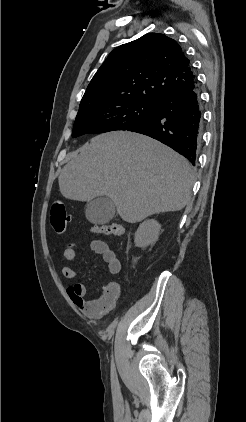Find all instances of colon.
Listing matches in <instances>:
<instances>
[{
  "instance_id": "obj_1",
  "label": "colon",
  "mask_w": 246,
  "mask_h": 422,
  "mask_svg": "<svg viewBox=\"0 0 246 422\" xmlns=\"http://www.w3.org/2000/svg\"><path fill=\"white\" fill-rule=\"evenodd\" d=\"M50 222L56 232L63 233L66 230L69 217L66 211V207L61 200L53 201L50 211ZM91 231L96 234L121 236L124 232V229L120 224L110 223L93 226Z\"/></svg>"
}]
</instances>
